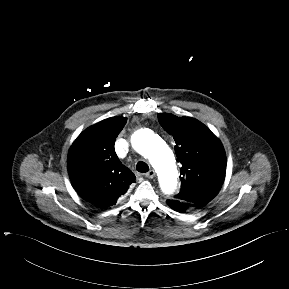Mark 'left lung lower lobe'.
I'll return each mask as SVG.
<instances>
[{"mask_svg":"<svg viewBox=\"0 0 289 289\" xmlns=\"http://www.w3.org/2000/svg\"><path fill=\"white\" fill-rule=\"evenodd\" d=\"M167 204L175 211L184 213L186 211H193L196 209L201 208V205L186 202V201H181L178 199H170L166 201Z\"/></svg>","mask_w":289,"mask_h":289,"instance_id":"left-lung-lower-lobe-1","label":"left lung lower lobe"}]
</instances>
